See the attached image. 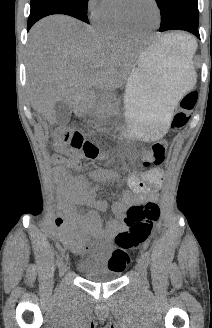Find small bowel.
<instances>
[{"mask_svg":"<svg viewBox=\"0 0 212 328\" xmlns=\"http://www.w3.org/2000/svg\"><path fill=\"white\" fill-rule=\"evenodd\" d=\"M60 152L54 154L51 162L54 165L56 179L65 186L63 201L65 204L85 206V214L74 212L70 215L72 224L79 225L83 233L79 236L78 250H91L94 257L101 263L107 262L108 268L123 271L125 266L111 265L107 258V246L110 240L119 232L128 227L126 221L127 210L134 205L146 201L156 200V191L163 181V170L153 167L144 173L132 174L127 178L116 171L97 169L90 171L86 176H72L68 169L79 171L81 165L78 155L72 153L66 158L62 155L61 147H56ZM99 182H120L124 189L119 200L111 205L104 199H97V185ZM110 209V218L104 221L103 213ZM60 225L61 222L58 221Z\"/></svg>","mask_w":212,"mask_h":328,"instance_id":"small-bowel-1","label":"small bowel"}]
</instances>
